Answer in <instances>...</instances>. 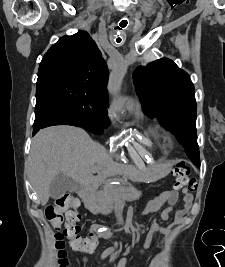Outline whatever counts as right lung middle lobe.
Masks as SVG:
<instances>
[{"label": "right lung middle lobe", "mask_w": 225, "mask_h": 267, "mask_svg": "<svg viewBox=\"0 0 225 267\" xmlns=\"http://www.w3.org/2000/svg\"><path fill=\"white\" fill-rule=\"evenodd\" d=\"M36 91L53 98L91 133L101 135L110 124L106 109L108 98L85 83L48 77L37 81Z\"/></svg>", "instance_id": "1"}]
</instances>
